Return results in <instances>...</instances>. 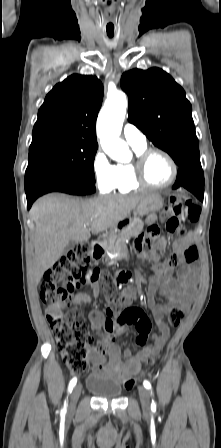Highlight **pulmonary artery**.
<instances>
[{
  "mask_svg": "<svg viewBox=\"0 0 221 448\" xmlns=\"http://www.w3.org/2000/svg\"><path fill=\"white\" fill-rule=\"evenodd\" d=\"M123 137L132 147L146 146L145 135L134 124H125L123 128Z\"/></svg>",
  "mask_w": 221,
  "mask_h": 448,
  "instance_id": "pulmonary-artery-1",
  "label": "pulmonary artery"
}]
</instances>
